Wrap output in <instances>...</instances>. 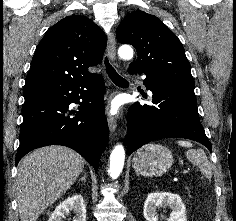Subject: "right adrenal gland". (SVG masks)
<instances>
[{"label": "right adrenal gland", "mask_w": 236, "mask_h": 221, "mask_svg": "<svg viewBox=\"0 0 236 221\" xmlns=\"http://www.w3.org/2000/svg\"><path fill=\"white\" fill-rule=\"evenodd\" d=\"M79 181H86V173L84 172V175L79 179Z\"/></svg>", "instance_id": "right-adrenal-gland-1"}]
</instances>
